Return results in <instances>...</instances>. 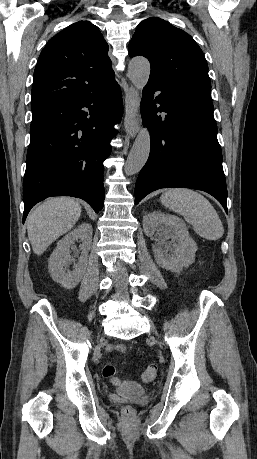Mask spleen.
<instances>
[{
    "mask_svg": "<svg viewBox=\"0 0 257 459\" xmlns=\"http://www.w3.org/2000/svg\"><path fill=\"white\" fill-rule=\"evenodd\" d=\"M160 201L182 215L199 236L213 241L223 236L224 228L216 210L200 193L187 188H172L162 194Z\"/></svg>",
    "mask_w": 257,
    "mask_h": 459,
    "instance_id": "1",
    "label": "spleen"
}]
</instances>
